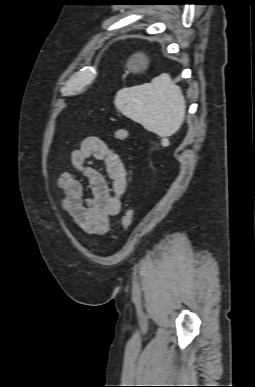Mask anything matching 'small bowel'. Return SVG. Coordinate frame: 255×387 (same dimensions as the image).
<instances>
[{
	"instance_id": "obj_1",
	"label": "small bowel",
	"mask_w": 255,
	"mask_h": 387,
	"mask_svg": "<svg viewBox=\"0 0 255 387\" xmlns=\"http://www.w3.org/2000/svg\"><path fill=\"white\" fill-rule=\"evenodd\" d=\"M92 159L104 163L110 183L90 165ZM71 164L87 178L91 195L85 197L83 184L74 173H62L58 186L63 190V210L85 233L104 234L109 230L110 217L121 209V199L127 187L125 163L119 152L102 139L89 136L71 152Z\"/></svg>"
}]
</instances>
